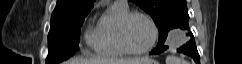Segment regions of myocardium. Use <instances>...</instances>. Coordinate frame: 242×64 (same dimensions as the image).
Masks as SVG:
<instances>
[{"instance_id":"f54148a6","label":"myocardium","mask_w":242,"mask_h":64,"mask_svg":"<svg viewBox=\"0 0 242 64\" xmlns=\"http://www.w3.org/2000/svg\"><path fill=\"white\" fill-rule=\"evenodd\" d=\"M133 17H142V18L146 19L152 29V38H151L149 45L140 50L131 48L126 39V28H127L129 21ZM158 33H159L158 27L150 15H148L147 13H144V12H140V11H132V12H128L120 20V23L118 26V41H119V44H120L122 50L125 53L130 54V55H143L153 49V47L155 46L157 39H158Z\"/></svg>"}]
</instances>
